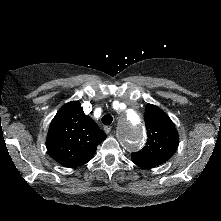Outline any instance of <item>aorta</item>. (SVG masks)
Returning a JSON list of instances; mask_svg holds the SVG:
<instances>
[{"instance_id":"762f6f07","label":"aorta","mask_w":221,"mask_h":221,"mask_svg":"<svg viewBox=\"0 0 221 221\" xmlns=\"http://www.w3.org/2000/svg\"><path fill=\"white\" fill-rule=\"evenodd\" d=\"M118 138L130 151L138 150L145 141L142 116L134 109L126 111L118 128Z\"/></svg>"}]
</instances>
